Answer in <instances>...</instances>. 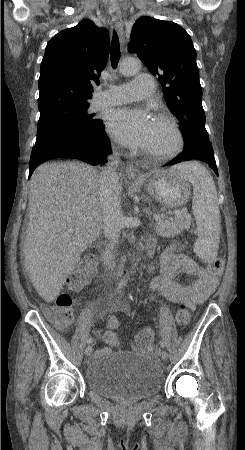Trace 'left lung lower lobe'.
Listing matches in <instances>:
<instances>
[{"instance_id":"left-lung-lower-lobe-1","label":"left lung lower lobe","mask_w":245,"mask_h":450,"mask_svg":"<svg viewBox=\"0 0 245 450\" xmlns=\"http://www.w3.org/2000/svg\"><path fill=\"white\" fill-rule=\"evenodd\" d=\"M189 159H197L202 160L204 162H207L210 167L214 170V172L218 175V170L214 158V152L211 149V147H204L203 149H199L198 151L193 152H182L178 156H176L174 159L166 163L164 166H168L171 164L179 163L182 161H186Z\"/></svg>"}]
</instances>
